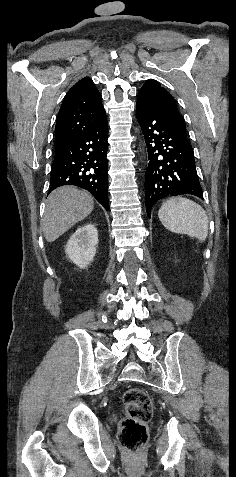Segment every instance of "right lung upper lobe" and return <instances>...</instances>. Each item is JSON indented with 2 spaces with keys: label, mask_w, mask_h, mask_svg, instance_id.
<instances>
[{
  "label": "right lung upper lobe",
  "mask_w": 236,
  "mask_h": 477,
  "mask_svg": "<svg viewBox=\"0 0 236 477\" xmlns=\"http://www.w3.org/2000/svg\"><path fill=\"white\" fill-rule=\"evenodd\" d=\"M106 120L101 95L93 81L85 77L66 94L57 116L55 152L64 149Z\"/></svg>",
  "instance_id": "right-lung-upper-lobe-1"
}]
</instances>
